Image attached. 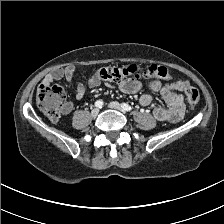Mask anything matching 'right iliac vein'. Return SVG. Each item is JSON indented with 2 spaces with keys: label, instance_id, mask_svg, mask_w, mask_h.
Listing matches in <instances>:
<instances>
[{
  "label": "right iliac vein",
  "instance_id": "right-iliac-vein-1",
  "mask_svg": "<svg viewBox=\"0 0 224 224\" xmlns=\"http://www.w3.org/2000/svg\"><path fill=\"white\" fill-rule=\"evenodd\" d=\"M100 110L99 108H94L92 111H91V116L92 117H96L98 114H99Z\"/></svg>",
  "mask_w": 224,
  "mask_h": 224
}]
</instances>
